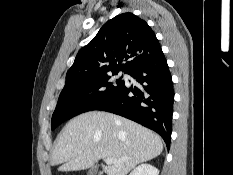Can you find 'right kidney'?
I'll use <instances>...</instances> for the list:
<instances>
[{
	"mask_svg": "<svg viewBox=\"0 0 233 175\" xmlns=\"http://www.w3.org/2000/svg\"><path fill=\"white\" fill-rule=\"evenodd\" d=\"M129 175H159L157 168L150 164H141L136 167Z\"/></svg>",
	"mask_w": 233,
	"mask_h": 175,
	"instance_id": "right-kidney-1",
	"label": "right kidney"
}]
</instances>
